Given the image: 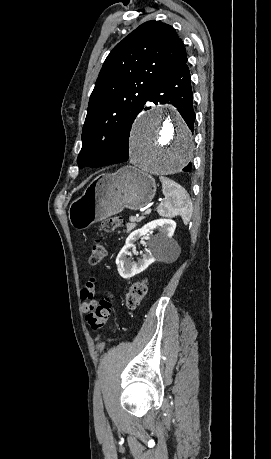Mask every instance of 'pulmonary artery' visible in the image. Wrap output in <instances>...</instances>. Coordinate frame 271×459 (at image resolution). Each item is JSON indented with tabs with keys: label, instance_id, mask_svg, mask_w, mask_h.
<instances>
[{
	"label": "pulmonary artery",
	"instance_id": "pulmonary-artery-1",
	"mask_svg": "<svg viewBox=\"0 0 271 459\" xmlns=\"http://www.w3.org/2000/svg\"><path fill=\"white\" fill-rule=\"evenodd\" d=\"M146 103H147V104H146V107H147L148 109H151V108L153 107V104H152V103H153V100H152L151 98H148V99L146 100Z\"/></svg>",
	"mask_w": 271,
	"mask_h": 459
}]
</instances>
